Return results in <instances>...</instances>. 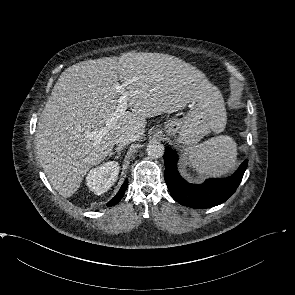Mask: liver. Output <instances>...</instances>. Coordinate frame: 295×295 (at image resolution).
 Instances as JSON below:
<instances>
[{
  "mask_svg": "<svg viewBox=\"0 0 295 295\" xmlns=\"http://www.w3.org/2000/svg\"><path fill=\"white\" fill-rule=\"evenodd\" d=\"M118 81L126 84L123 93L115 88ZM208 86L200 70L168 54L130 52L70 66L52 89L36 132L37 154L51 185L64 198L72 196L117 137L133 132L142 138L146 118L184 108ZM120 94L131 111L97 143L86 133L106 126Z\"/></svg>",
  "mask_w": 295,
  "mask_h": 295,
  "instance_id": "liver-1",
  "label": "liver"
}]
</instances>
